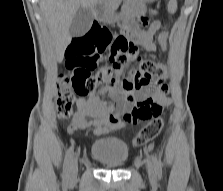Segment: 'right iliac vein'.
I'll use <instances>...</instances> for the list:
<instances>
[{"mask_svg":"<svg viewBox=\"0 0 223 191\" xmlns=\"http://www.w3.org/2000/svg\"><path fill=\"white\" fill-rule=\"evenodd\" d=\"M78 172V161L75 158L72 163H71V168H70V176L72 178H75Z\"/></svg>","mask_w":223,"mask_h":191,"instance_id":"63e3f726","label":"right iliac vein"}]
</instances>
